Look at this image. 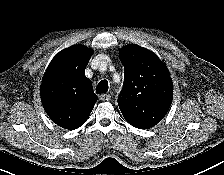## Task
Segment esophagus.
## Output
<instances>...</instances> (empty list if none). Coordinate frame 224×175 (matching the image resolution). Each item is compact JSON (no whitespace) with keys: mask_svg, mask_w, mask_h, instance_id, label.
<instances>
[{"mask_svg":"<svg viewBox=\"0 0 224 175\" xmlns=\"http://www.w3.org/2000/svg\"><path fill=\"white\" fill-rule=\"evenodd\" d=\"M99 99L101 101H109L111 99V96L109 94H102L99 96Z\"/></svg>","mask_w":224,"mask_h":175,"instance_id":"esophagus-1","label":"esophagus"}]
</instances>
